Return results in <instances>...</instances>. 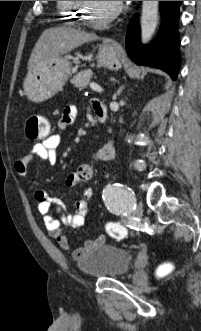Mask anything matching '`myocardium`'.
Masks as SVG:
<instances>
[{"label": "myocardium", "mask_w": 201, "mask_h": 331, "mask_svg": "<svg viewBox=\"0 0 201 331\" xmlns=\"http://www.w3.org/2000/svg\"><path fill=\"white\" fill-rule=\"evenodd\" d=\"M78 4H80L83 9L81 11V15H82V20L83 22L88 25V26H92V27H104L106 26L108 23H110L111 21H113L121 12L122 10V6L119 4L116 9L110 13L109 15H107L104 19L100 20V21H93L91 19H89L88 14H87V6L89 5V1H76Z\"/></svg>", "instance_id": "f54148a6"}]
</instances>
